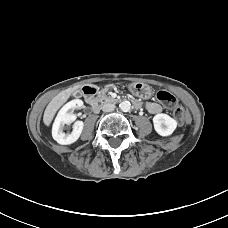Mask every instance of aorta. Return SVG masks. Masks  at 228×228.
<instances>
[{"mask_svg": "<svg viewBox=\"0 0 228 228\" xmlns=\"http://www.w3.org/2000/svg\"><path fill=\"white\" fill-rule=\"evenodd\" d=\"M119 107L123 112H128L131 108V104L129 101H123L120 103Z\"/></svg>", "mask_w": 228, "mask_h": 228, "instance_id": "aorta-1", "label": "aorta"}]
</instances>
